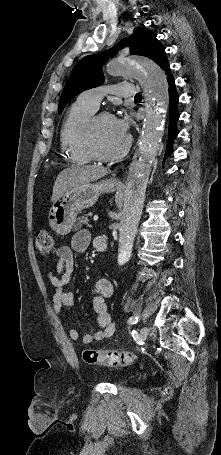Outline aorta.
I'll return each instance as SVG.
<instances>
[{"instance_id":"obj_1","label":"aorta","mask_w":221,"mask_h":455,"mask_svg":"<svg viewBox=\"0 0 221 455\" xmlns=\"http://www.w3.org/2000/svg\"><path fill=\"white\" fill-rule=\"evenodd\" d=\"M106 71L113 76H136L144 88L147 104L138 151L129 168L119 226L118 262L124 264L131 256L147 180L164 134L168 87L165 73L149 59L126 57L111 61L107 64Z\"/></svg>"}]
</instances>
